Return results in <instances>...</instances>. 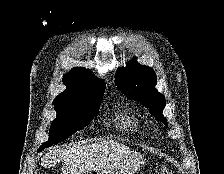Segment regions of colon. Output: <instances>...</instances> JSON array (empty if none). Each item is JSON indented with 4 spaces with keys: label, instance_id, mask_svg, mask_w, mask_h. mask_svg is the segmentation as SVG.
Masks as SVG:
<instances>
[{
    "label": "colon",
    "instance_id": "colon-1",
    "mask_svg": "<svg viewBox=\"0 0 224 174\" xmlns=\"http://www.w3.org/2000/svg\"><path fill=\"white\" fill-rule=\"evenodd\" d=\"M155 174H173V172L166 166H159L156 169Z\"/></svg>",
    "mask_w": 224,
    "mask_h": 174
}]
</instances>
